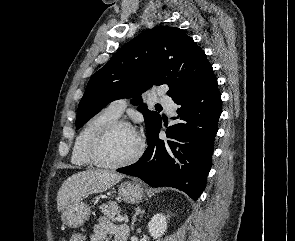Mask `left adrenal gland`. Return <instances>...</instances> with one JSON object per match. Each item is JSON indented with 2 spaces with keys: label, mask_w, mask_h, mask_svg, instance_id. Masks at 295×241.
<instances>
[{
  "label": "left adrenal gland",
  "mask_w": 295,
  "mask_h": 241,
  "mask_svg": "<svg viewBox=\"0 0 295 241\" xmlns=\"http://www.w3.org/2000/svg\"><path fill=\"white\" fill-rule=\"evenodd\" d=\"M145 212V210H141L140 206H138L136 209H135V214L133 215L132 217V222H131V230L133 231L134 230V224L136 222V217L137 215L139 214H143Z\"/></svg>",
  "instance_id": "left-adrenal-gland-1"
}]
</instances>
